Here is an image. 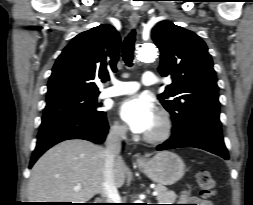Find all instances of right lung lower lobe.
I'll use <instances>...</instances> for the list:
<instances>
[{"instance_id":"98d812e1","label":"right lung lower lobe","mask_w":253,"mask_h":205,"mask_svg":"<svg viewBox=\"0 0 253 205\" xmlns=\"http://www.w3.org/2000/svg\"><path fill=\"white\" fill-rule=\"evenodd\" d=\"M107 133L108 123L105 115L93 119L66 115L43 117L29 167L31 168L46 150L61 141L84 139L101 144Z\"/></svg>"}]
</instances>
